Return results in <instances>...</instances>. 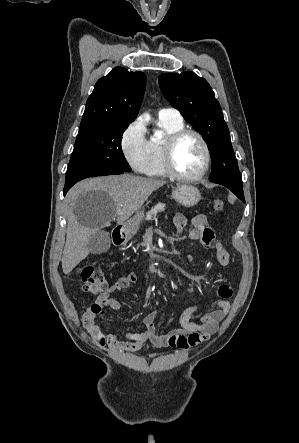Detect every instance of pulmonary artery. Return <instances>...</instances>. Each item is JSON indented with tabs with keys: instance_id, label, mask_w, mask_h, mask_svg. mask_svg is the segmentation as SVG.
<instances>
[{
	"instance_id": "e3ab8cb5",
	"label": "pulmonary artery",
	"mask_w": 299,
	"mask_h": 443,
	"mask_svg": "<svg viewBox=\"0 0 299 443\" xmlns=\"http://www.w3.org/2000/svg\"><path fill=\"white\" fill-rule=\"evenodd\" d=\"M158 116L160 119H170L176 121L183 120L179 111L174 108H162L159 110Z\"/></svg>"
}]
</instances>
